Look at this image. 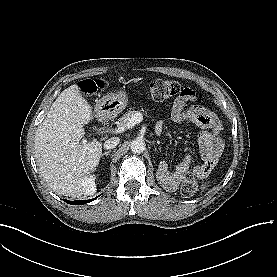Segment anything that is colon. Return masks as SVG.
Here are the masks:
<instances>
[{"label": "colon", "mask_w": 277, "mask_h": 277, "mask_svg": "<svg viewBox=\"0 0 277 277\" xmlns=\"http://www.w3.org/2000/svg\"><path fill=\"white\" fill-rule=\"evenodd\" d=\"M101 87L100 81H93V80H86L80 84V88L83 92L92 94L98 88ZM149 90L151 96L155 100H165L167 98L182 95V94H189L191 93L190 89L183 88L178 82L176 81H169V80H153L149 84ZM208 169L214 167V161L209 159L207 162ZM196 192V181L193 176H188L182 186L180 188V193L182 196L189 198L192 197Z\"/></svg>", "instance_id": "obj_1"}]
</instances>
